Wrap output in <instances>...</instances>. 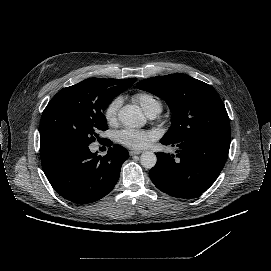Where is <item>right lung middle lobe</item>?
Returning a JSON list of instances; mask_svg holds the SVG:
<instances>
[{
	"label": "right lung middle lobe",
	"instance_id": "obj_1",
	"mask_svg": "<svg viewBox=\"0 0 271 271\" xmlns=\"http://www.w3.org/2000/svg\"><path fill=\"white\" fill-rule=\"evenodd\" d=\"M127 87H110L98 98L85 88L67 87L60 90L48 103L40 121V143L67 139L90 144L98 132L107 130L103 111L114 97Z\"/></svg>",
	"mask_w": 271,
	"mask_h": 271
}]
</instances>
